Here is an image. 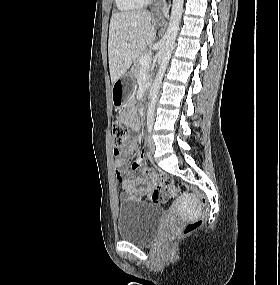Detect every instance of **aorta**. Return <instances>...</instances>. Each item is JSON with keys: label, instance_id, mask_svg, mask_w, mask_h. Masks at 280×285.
<instances>
[{"label": "aorta", "instance_id": "1", "mask_svg": "<svg viewBox=\"0 0 280 285\" xmlns=\"http://www.w3.org/2000/svg\"><path fill=\"white\" fill-rule=\"evenodd\" d=\"M183 11V0H172L170 22L166 33L165 51L159 66L158 73L152 85L151 99L148 105L147 116L153 117L157 96L159 93L160 85L163 75L169 63L173 46L179 29V24Z\"/></svg>", "mask_w": 280, "mask_h": 285}]
</instances>
